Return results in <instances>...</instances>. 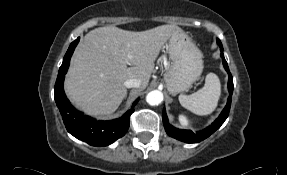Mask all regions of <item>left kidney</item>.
I'll list each match as a JSON object with an SVG mask.
<instances>
[{
    "mask_svg": "<svg viewBox=\"0 0 287 175\" xmlns=\"http://www.w3.org/2000/svg\"><path fill=\"white\" fill-rule=\"evenodd\" d=\"M179 121H180V123L182 125H187L188 124V120H187L186 116H184V115H180L179 116Z\"/></svg>",
    "mask_w": 287,
    "mask_h": 175,
    "instance_id": "1",
    "label": "left kidney"
}]
</instances>
